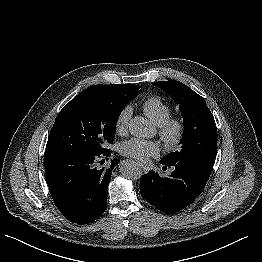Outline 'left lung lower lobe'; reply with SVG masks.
Segmentation results:
<instances>
[{
    "instance_id": "0a47b994",
    "label": "left lung lower lobe",
    "mask_w": 262,
    "mask_h": 262,
    "mask_svg": "<svg viewBox=\"0 0 262 262\" xmlns=\"http://www.w3.org/2000/svg\"><path fill=\"white\" fill-rule=\"evenodd\" d=\"M173 168L169 177L162 178L150 171L140 179L142 197L160 211L170 214L187 207L201 194L212 170L210 166L197 164H180Z\"/></svg>"
}]
</instances>
